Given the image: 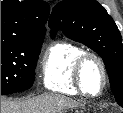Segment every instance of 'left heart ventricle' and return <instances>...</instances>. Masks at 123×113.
I'll return each instance as SVG.
<instances>
[{
    "label": "left heart ventricle",
    "mask_w": 123,
    "mask_h": 113,
    "mask_svg": "<svg viewBox=\"0 0 123 113\" xmlns=\"http://www.w3.org/2000/svg\"><path fill=\"white\" fill-rule=\"evenodd\" d=\"M84 81L88 92L96 93L102 84V75L99 66L89 60L84 67Z\"/></svg>",
    "instance_id": "1"
}]
</instances>
